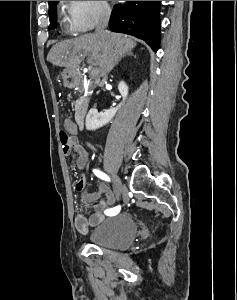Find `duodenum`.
Returning <instances> with one entry per match:
<instances>
[{"label":"duodenum","instance_id":"obj_1","mask_svg":"<svg viewBox=\"0 0 237 300\" xmlns=\"http://www.w3.org/2000/svg\"><path fill=\"white\" fill-rule=\"evenodd\" d=\"M68 84L71 87H74L76 89H81L83 86V79L80 76L79 73L76 71H70L68 73ZM88 107H89V99L84 97L79 100L77 107H76V112H75V122L76 126L79 129H82L85 125V120L87 117L88 113Z\"/></svg>","mask_w":237,"mask_h":300}]
</instances>
